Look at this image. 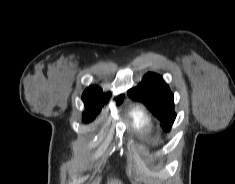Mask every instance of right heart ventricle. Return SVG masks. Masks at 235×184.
<instances>
[{
    "mask_svg": "<svg viewBox=\"0 0 235 184\" xmlns=\"http://www.w3.org/2000/svg\"><path fill=\"white\" fill-rule=\"evenodd\" d=\"M131 130L146 141L154 138L155 125L151 114L142 105H133L126 114Z\"/></svg>",
    "mask_w": 235,
    "mask_h": 184,
    "instance_id": "right-heart-ventricle-1",
    "label": "right heart ventricle"
}]
</instances>
